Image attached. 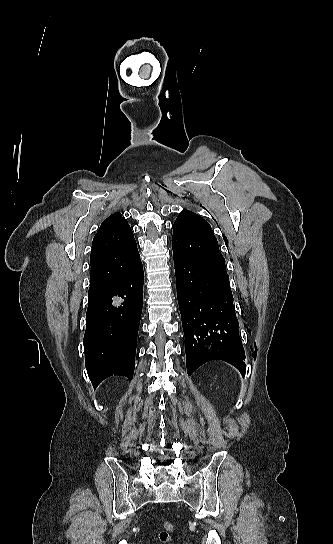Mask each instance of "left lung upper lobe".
I'll return each mask as SVG.
<instances>
[{
    "label": "left lung upper lobe",
    "mask_w": 333,
    "mask_h": 544,
    "mask_svg": "<svg viewBox=\"0 0 333 544\" xmlns=\"http://www.w3.org/2000/svg\"><path fill=\"white\" fill-rule=\"evenodd\" d=\"M173 252L192 264L213 272L230 288L225 259L211 226L199 215L183 210L173 225Z\"/></svg>",
    "instance_id": "1"
}]
</instances>
